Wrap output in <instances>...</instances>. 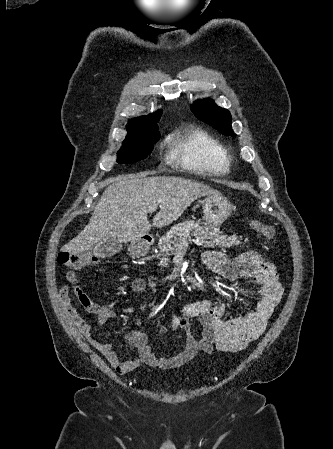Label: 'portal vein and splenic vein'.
<instances>
[{"mask_svg": "<svg viewBox=\"0 0 333 449\" xmlns=\"http://www.w3.org/2000/svg\"><path fill=\"white\" fill-rule=\"evenodd\" d=\"M157 209V205H154V206H150L149 207V211H155Z\"/></svg>", "mask_w": 333, "mask_h": 449, "instance_id": "portal-vein-and-splenic-vein-1", "label": "portal vein and splenic vein"}]
</instances>
